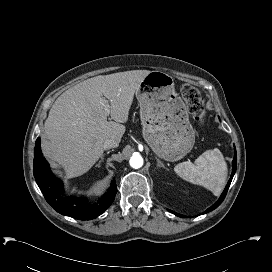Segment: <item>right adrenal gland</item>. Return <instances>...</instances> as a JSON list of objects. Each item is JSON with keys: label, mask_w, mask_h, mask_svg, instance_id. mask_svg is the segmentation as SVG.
Listing matches in <instances>:
<instances>
[{"label": "right adrenal gland", "mask_w": 272, "mask_h": 272, "mask_svg": "<svg viewBox=\"0 0 272 272\" xmlns=\"http://www.w3.org/2000/svg\"><path fill=\"white\" fill-rule=\"evenodd\" d=\"M104 155H105V154H103V155L101 156V160L99 161V163H98L96 166L100 167L101 162H103V160H104Z\"/></svg>", "instance_id": "obj_1"}]
</instances>
